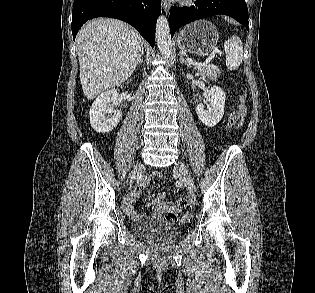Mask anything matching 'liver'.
Wrapping results in <instances>:
<instances>
[{
	"label": "liver",
	"mask_w": 315,
	"mask_h": 293,
	"mask_svg": "<svg viewBox=\"0 0 315 293\" xmlns=\"http://www.w3.org/2000/svg\"><path fill=\"white\" fill-rule=\"evenodd\" d=\"M80 82L88 100L125 82L143 53L140 34L116 19H94L77 35Z\"/></svg>",
	"instance_id": "liver-1"
}]
</instances>
